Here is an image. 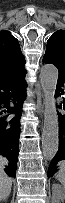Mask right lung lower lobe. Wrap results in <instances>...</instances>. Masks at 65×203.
I'll use <instances>...</instances> for the list:
<instances>
[{
	"label": "right lung lower lobe",
	"instance_id": "right-lung-lower-lobe-1",
	"mask_svg": "<svg viewBox=\"0 0 65 203\" xmlns=\"http://www.w3.org/2000/svg\"><path fill=\"white\" fill-rule=\"evenodd\" d=\"M25 74L0 80V155L9 163L4 169L8 176H16L20 118L26 98Z\"/></svg>",
	"mask_w": 65,
	"mask_h": 203
}]
</instances>
